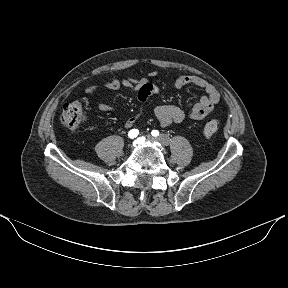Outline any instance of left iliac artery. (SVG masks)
I'll list each match as a JSON object with an SVG mask.
<instances>
[{"instance_id": "left-iliac-artery-1", "label": "left iliac artery", "mask_w": 288, "mask_h": 288, "mask_svg": "<svg viewBox=\"0 0 288 288\" xmlns=\"http://www.w3.org/2000/svg\"><path fill=\"white\" fill-rule=\"evenodd\" d=\"M151 134H152V136L156 137L159 135V131L158 130H152Z\"/></svg>"}]
</instances>
